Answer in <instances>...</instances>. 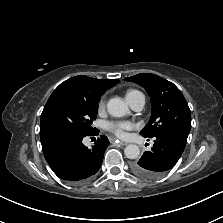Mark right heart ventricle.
<instances>
[{
	"label": "right heart ventricle",
	"mask_w": 223,
	"mask_h": 223,
	"mask_svg": "<svg viewBox=\"0 0 223 223\" xmlns=\"http://www.w3.org/2000/svg\"><path fill=\"white\" fill-rule=\"evenodd\" d=\"M138 94H141L138 90L130 89L126 92V98L130 102Z\"/></svg>",
	"instance_id": "1"
}]
</instances>
